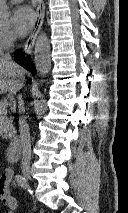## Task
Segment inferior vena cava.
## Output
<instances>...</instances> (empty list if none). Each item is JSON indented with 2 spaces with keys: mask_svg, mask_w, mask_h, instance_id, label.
<instances>
[{
  "mask_svg": "<svg viewBox=\"0 0 128 213\" xmlns=\"http://www.w3.org/2000/svg\"><path fill=\"white\" fill-rule=\"evenodd\" d=\"M13 42H14L13 38H11L8 41V43H7L8 49L13 48V46H14ZM2 59L7 61L13 67L18 66L12 62L10 52H7ZM19 89L20 88L15 89L14 91L11 92V94L15 95ZM17 98H18V109H19V114H20V116H19L20 141H21V147H22L21 165L23 167H27L30 165V161H31V143H30L29 125L26 122V117L23 115L25 112V108H24V102L22 100L21 95H18Z\"/></svg>",
  "mask_w": 128,
  "mask_h": 213,
  "instance_id": "obj_1",
  "label": "inferior vena cava"
}]
</instances>
